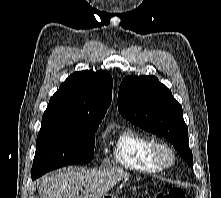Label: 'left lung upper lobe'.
<instances>
[{
  "label": "left lung upper lobe",
  "mask_w": 221,
  "mask_h": 198,
  "mask_svg": "<svg viewBox=\"0 0 221 198\" xmlns=\"http://www.w3.org/2000/svg\"><path fill=\"white\" fill-rule=\"evenodd\" d=\"M118 110L133 124L166 138L179 155L193 166L182 107L155 76L124 78L118 93Z\"/></svg>",
  "instance_id": "left-lung-upper-lobe-1"
}]
</instances>
